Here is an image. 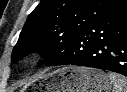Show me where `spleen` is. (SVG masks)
I'll return each mask as SVG.
<instances>
[{
  "instance_id": "3e777b00",
  "label": "spleen",
  "mask_w": 127,
  "mask_h": 92,
  "mask_svg": "<svg viewBox=\"0 0 127 92\" xmlns=\"http://www.w3.org/2000/svg\"><path fill=\"white\" fill-rule=\"evenodd\" d=\"M107 76L113 84L112 92H127V78L115 73H108Z\"/></svg>"
}]
</instances>
